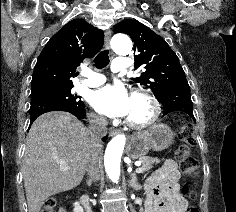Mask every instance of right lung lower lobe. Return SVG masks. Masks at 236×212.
Instances as JSON below:
<instances>
[{"label":"right lung lower lobe","instance_id":"right-lung-lower-lobe-1","mask_svg":"<svg viewBox=\"0 0 236 212\" xmlns=\"http://www.w3.org/2000/svg\"><path fill=\"white\" fill-rule=\"evenodd\" d=\"M84 107H85L84 105L80 106L68 105L45 99L31 100V106L29 110L30 124H32L38 116L50 111H66L72 113L78 119H83L85 118L86 115V110L84 109ZM106 139L107 136L102 138L103 141H105Z\"/></svg>","mask_w":236,"mask_h":212}]
</instances>
